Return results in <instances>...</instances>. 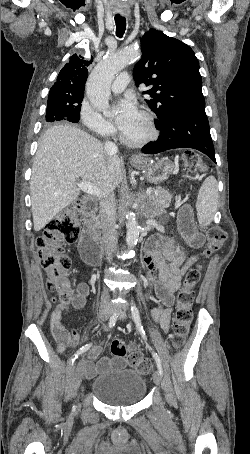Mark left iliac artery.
I'll return each instance as SVG.
<instances>
[{
  "label": "left iliac artery",
  "instance_id": "left-iliac-artery-1",
  "mask_svg": "<svg viewBox=\"0 0 250 454\" xmlns=\"http://www.w3.org/2000/svg\"><path fill=\"white\" fill-rule=\"evenodd\" d=\"M131 315H132L133 321L136 324L137 331L142 335V337L144 339H146L145 331L143 329V326L141 325V319H140L139 311H138V309H137V307L135 305H131ZM152 356H153V358H154V360L156 362L158 371H159L160 375L162 376L163 375V369H162L161 360H160L159 356L157 355V353H155V352H152Z\"/></svg>",
  "mask_w": 250,
  "mask_h": 454
}]
</instances>
